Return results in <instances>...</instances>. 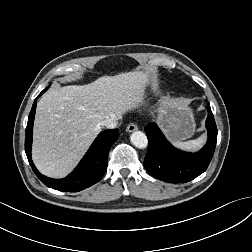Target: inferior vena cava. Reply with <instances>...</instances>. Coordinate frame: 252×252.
Returning <instances> with one entry per match:
<instances>
[{
	"label": "inferior vena cava",
	"instance_id": "602c4592",
	"mask_svg": "<svg viewBox=\"0 0 252 252\" xmlns=\"http://www.w3.org/2000/svg\"><path fill=\"white\" fill-rule=\"evenodd\" d=\"M118 119H120V118H114V117L107 118L104 121H102L101 124L108 129H113V128H116V126L118 124V122H117Z\"/></svg>",
	"mask_w": 252,
	"mask_h": 252
}]
</instances>
